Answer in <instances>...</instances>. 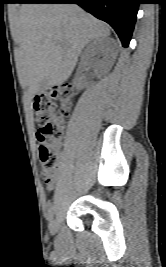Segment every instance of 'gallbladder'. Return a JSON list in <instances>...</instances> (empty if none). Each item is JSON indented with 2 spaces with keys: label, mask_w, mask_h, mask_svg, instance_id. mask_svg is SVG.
<instances>
[{
  "label": "gallbladder",
  "mask_w": 166,
  "mask_h": 267,
  "mask_svg": "<svg viewBox=\"0 0 166 267\" xmlns=\"http://www.w3.org/2000/svg\"><path fill=\"white\" fill-rule=\"evenodd\" d=\"M46 86H47V81L44 80V81L42 82L41 87H40V92L44 91V89L46 88Z\"/></svg>",
  "instance_id": "gallbladder-1"
}]
</instances>
